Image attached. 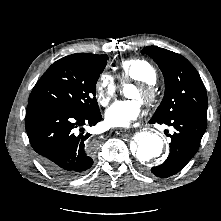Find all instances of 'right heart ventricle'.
Returning <instances> with one entry per match:
<instances>
[{
  "instance_id": "right-heart-ventricle-1",
  "label": "right heart ventricle",
  "mask_w": 221,
  "mask_h": 221,
  "mask_svg": "<svg viewBox=\"0 0 221 221\" xmlns=\"http://www.w3.org/2000/svg\"><path fill=\"white\" fill-rule=\"evenodd\" d=\"M117 77L122 82L135 80L154 85L157 81L153 65L144 58H130L121 62Z\"/></svg>"
}]
</instances>
